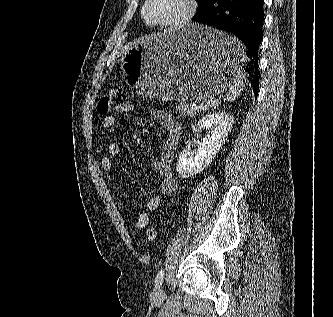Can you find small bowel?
I'll return each mask as SVG.
<instances>
[{
	"instance_id": "c3829d8e",
	"label": "small bowel",
	"mask_w": 333,
	"mask_h": 317,
	"mask_svg": "<svg viewBox=\"0 0 333 317\" xmlns=\"http://www.w3.org/2000/svg\"><path fill=\"white\" fill-rule=\"evenodd\" d=\"M136 110V106L129 102H121L116 106V112L119 114H128ZM149 114L156 123L162 126L168 132V138L163 146L160 156L154 161L153 167L160 176V190L163 196H173L176 194L178 185L172 173V163L177 150L180 127L178 123L166 112L151 108ZM117 123L115 115H108L102 119L101 127L103 130L112 128ZM120 154V146L117 143H111L108 146V155L102 158L101 166L107 173L114 172V165L110 157H116ZM161 204V196H152L145 204V210L138 213L133 220L134 228H144L148 225L150 217L149 212L156 211Z\"/></svg>"
}]
</instances>
